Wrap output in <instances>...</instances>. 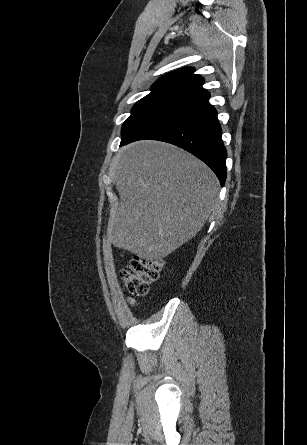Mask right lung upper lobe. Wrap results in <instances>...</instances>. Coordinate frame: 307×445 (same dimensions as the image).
<instances>
[{"mask_svg":"<svg viewBox=\"0 0 307 445\" xmlns=\"http://www.w3.org/2000/svg\"><path fill=\"white\" fill-rule=\"evenodd\" d=\"M193 68H182L158 79L152 86L149 96L176 98L185 102L206 93L202 88L204 80L193 74Z\"/></svg>","mask_w":307,"mask_h":445,"instance_id":"right-lung-upper-lobe-1","label":"right lung upper lobe"}]
</instances>
